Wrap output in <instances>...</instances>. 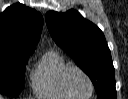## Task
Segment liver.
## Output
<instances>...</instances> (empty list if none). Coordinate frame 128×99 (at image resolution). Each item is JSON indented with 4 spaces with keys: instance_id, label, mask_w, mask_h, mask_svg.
I'll use <instances>...</instances> for the list:
<instances>
[{
    "instance_id": "obj_1",
    "label": "liver",
    "mask_w": 128,
    "mask_h": 99,
    "mask_svg": "<svg viewBox=\"0 0 128 99\" xmlns=\"http://www.w3.org/2000/svg\"><path fill=\"white\" fill-rule=\"evenodd\" d=\"M0 99H3V97L0 95Z\"/></svg>"
}]
</instances>
